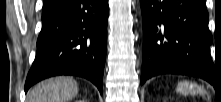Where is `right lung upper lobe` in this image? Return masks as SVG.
Returning <instances> with one entry per match:
<instances>
[{
  "label": "right lung upper lobe",
  "instance_id": "1",
  "mask_svg": "<svg viewBox=\"0 0 221 102\" xmlns=\"http://www.w3.org/2000/svg\"><path fill=\"white\" fill-rule=\"evenodd\" d=\"M59 0H44L43 12L47 11L58 3Z\"/></svg>",
  "mask_w": 221,
  "mask_h": 102
}]
</instances>
